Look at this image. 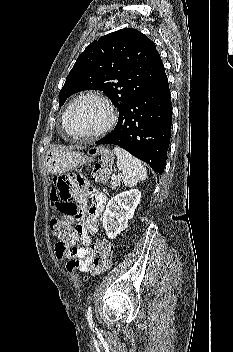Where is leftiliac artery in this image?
Segmentation results:
<instances>
[{
  "instance_id": "1",
  "label": "left iliac artery",
  "mask_w": 233,
  "mask_h": 352,
  "mask_svg": "<svg viewBox=\"0 0 233 352\" xmlns=\"http://www.w3.org/2000/svg\"><path fill=\"white\" fill-rule=\"evenodd\" d=\"M87 319H88L89 323L92 322V309H91V306L88 308V311H87Z\"/></svg>"
}]
</instances>
